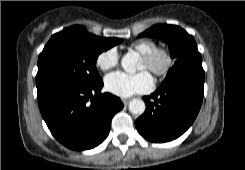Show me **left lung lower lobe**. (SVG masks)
I'll return each instance as SVG.
<instances>
[{"instance_id":"1","label":"left lung lower lobe","mask_w":245,"mask_h":170,"mask_svg":"<svg viewBox=\"0 0 245 170\" xmlns=\"http://www.w3.org/2000/svg\"><path fill=\"white\" fill-rule=\"evenodd\" d=\"M204 95V82L178 80L143 97L146 110L135 124L147 140L163 143L181 136L194 122Z\"/></svg>"}]
</instances>
